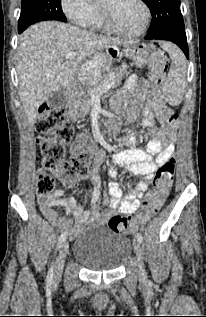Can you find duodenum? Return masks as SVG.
Wrapping results in <instances>:
<instances>
[{
  "mask_svg": "<svg viewBox=\"0 0 206 317\" xmlns=\"http://www.w3.org/2000/svg\"><path fill=\"white\" fill-rule=\"evenodd\" d=\"M65 111H69L71 115H74L76 113L75 110V101L74 100H66L65 101V106H64ZM116 129V123L111 125V130L114 131Z\"/></svg>",
  "mask_w": 206,
  "mask_h": 317,
  "instance_id": "1",
  "label": "duodenum"
}]
</instances>
